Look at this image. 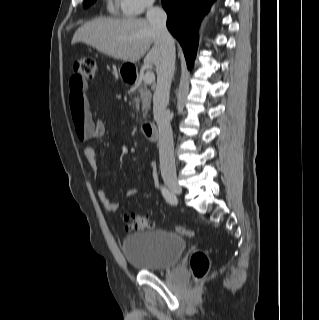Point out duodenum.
<instances>
[{"label": "duodenum", "instance_id": "duodenum-1", "mask_svg": "<svg viewBox=\"0 0 319 320\" xmlns=\"http://www.w3.org/2000/svg\"><path fill=\"white\" fill-rule=\"evenodd\" d=\"M125 79L127 82L129 83H133L136 81V76L132 73V74H128L125 75ZM142 130L143 133L145 135V137L148 139V141H156L158 138V131H157V127L154 123L151 122H145L142 125Z\"/></svg>", "mask_w": 319, "mask_h": 320}]
</instances>
